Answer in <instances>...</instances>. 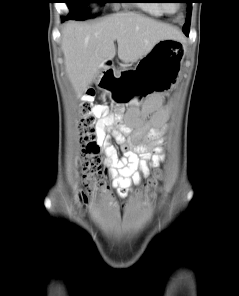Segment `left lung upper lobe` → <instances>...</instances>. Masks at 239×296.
Listing matches in <instances>:
<instances>
[{"label": "left lung upper lobe", "mask_w": 239, "mask_h": 296, "mask_svg": "<svg viewBox=\"0 0 239 296\" xmlns=\"http://www.w3.org/2000/svg\"><path fill=\"white\" fill-rule=\"evenodd\" d=\"M188 4V7H187V17H186V23L184 24L183 28H186V29H189L190 27V17H191V9H192V2L191 0H188L186 2Z\"/></svg>", "instance_id": "1"}]
</instances>
